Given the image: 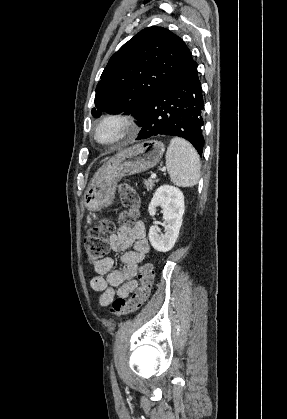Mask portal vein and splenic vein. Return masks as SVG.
I'll list each match as a JSON object with an SVG mask.
<instances>
[{
  "label": "portal vein and splenic vein",
  "mask_w": 287,
  "mask_h": 419,
  "mask_svg": "<svg viewBox=\"0 0 287 419\" xmlns=\"http://www.w3.org/2000/svg\"><path fill=\"white\" fill-rule=\"evenodd\" d=\"M162 171H165V169H162ZM156 176H157V175H156V173L151 174V178H152V179H155V178H156Z\"/></svg>",
  "instance_id": "portal-vein-and-splenic-vein-1"
}]
</instances>
